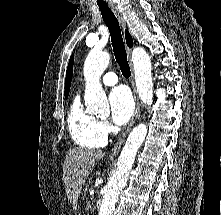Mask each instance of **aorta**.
I'll use <instances>...</instances> for the list:
<instances>
[{"label":"aorta","mask_w":221,"mask_h":215,"mask_svg":"<svg viewBox=\"0 0 221 215\" xmlns=\"http://www.w3.org/2000/svg\"><path fill=\"white\" fill-rule=\"evenodd\" d=\"M110 55L104 51L91 50L84 63L85 105L90 114L108 115L109 104L100 84V77L107 68ZM137 92L143 104L153 101V82L151 60L144 48L136 47L132 51ZM148 127L141 123L133 128L118 158L117 169L104 189L99 215H112L121 190L125 187L129 171L136 153L142 145Z\"/></svg>","instance_id":"obj_1"}]
</instances>
